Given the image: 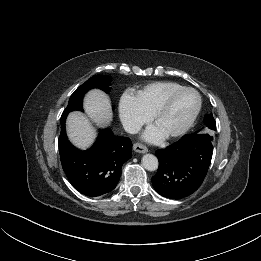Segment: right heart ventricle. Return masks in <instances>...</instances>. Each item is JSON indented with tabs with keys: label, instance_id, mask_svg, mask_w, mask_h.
Masks as SVG:
<instances>
[{
	"label": "right heart ventricle",
	"instance_id": "1",
	"mask_svg": "<svg viewBox=\"0 0 261 261\" xmlns=\"http://www.w3.org/2000/svg\"><path fill=\"white\" fill-rule=\"evenodd\" d=\"M182 87L179 83L172 81H156L138 90L135 93V99L140 109L147 116H151L169 93Z\"/></svg>",
	"mask_w": 261,
	"mask_h": 261
}]
</instances>
